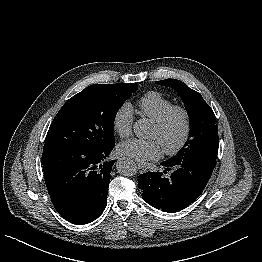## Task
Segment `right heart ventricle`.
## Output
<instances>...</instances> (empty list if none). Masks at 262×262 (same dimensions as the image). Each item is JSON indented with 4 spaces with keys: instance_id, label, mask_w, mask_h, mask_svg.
Listing matches in <instances>:
<instances>
[{
    "instance_id": "right-heart-ventricle-1",
    "label": "right heart ventricle",
    "mask_w": 262,
    "mask_h": 262,
    "mask_svg": "<svg viewBox=\"0 0 262 262\" xmlns=\"http://www.w3.org/2000/svg\"><path fill=\"white\" fill-rule=\"evenodd\" d=\"M173 105L169 98L157 91L146 93L137 102L140 113L154 122L159 120Z\"/></svg>"
}]
</instances>
